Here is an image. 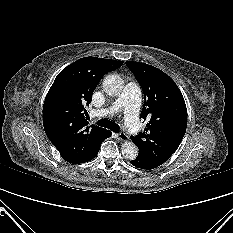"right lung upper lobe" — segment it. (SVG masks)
Masks as SVG:
<instances>
[{
	"label": "right lung upper lobe",
	"instance_id": "obj_1",
	"mask_svg": "<svg viewBox=\"0 0 233 233\" xmlns=\"http://www.w3.org/2000/svg\"><path fill=\"white\" fill-rule=\"evenodd\" d=\"M122 64L123 61L85 57L64 68L55 78L44 101L43 126L67 162L82 163L104 140L107 130L87 126L85 107L101 78Z\"/></svg>",
	"mask_w": 233,
	"mask_h": 233
}]
</instances>
